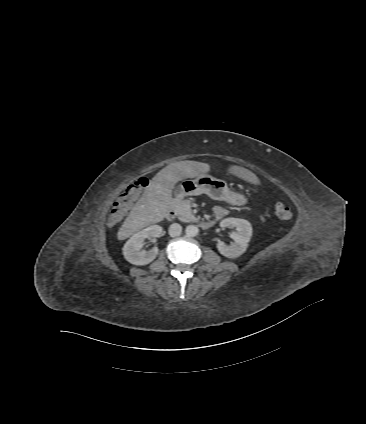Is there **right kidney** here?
<instances>
[{
	"instance_id": "obj_1",
	"label": "right kidney",
	"mask_w": 366,
	"mask_h": 424,
	"mask_svg": "<svg viewBox=\"0 0 366 424\" xmlns=\"http://www.w3.org/2000/svg\"><path fill=\"white\" fill-rule=\"evenodd\" d=\"M163 228L160 225H151L134 234L124 245V258L134 265H147L158 255V248L149 251L141 250L146 238H157L161 235Z\"/></svg>"
}]
</instances>
